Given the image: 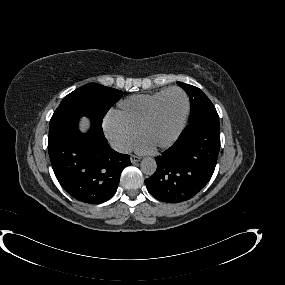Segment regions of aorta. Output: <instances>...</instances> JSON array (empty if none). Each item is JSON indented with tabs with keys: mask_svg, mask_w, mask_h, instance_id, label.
<instances>
[{
	"mask_svg": "<svg viewBox=\"0 0 285 285\" xmlns=\"http://www.w3.org/2000/svg\"><path fill=\"white\" fill-rule=\"evenodd\" d=\"M140 169L146 175H153L157 169V163L155 159L146 157L142 159L140 163Z\"/></svg>",
	"mask_w": 285,
	"mask_h": 285,
	"instance_id": "762f6f07",
	"label": "aorta"
}]
</instances>
